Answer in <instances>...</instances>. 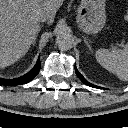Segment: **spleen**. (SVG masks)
I'll list each match as a JSON object with an SVG mask.
<instances>
[{
  "label": "spleen",
  "mask_w": 128,
  "mask_h": 128,
  "mask_svg": "<svg viewBox=\"0 0 128 128\" xmlns=\"http://www.w3.org/2000/svg\"><path fill=\"white\" fill-rule=\"evenodd\" d=\"M97 62L120 80L128 81V44L124 50H108L101 48L96 51Z\"/></svg>",
  "instance_id": "spleen-1"
}]
</instances>
